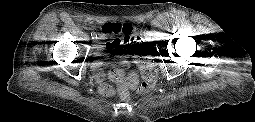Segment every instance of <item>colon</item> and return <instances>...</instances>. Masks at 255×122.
<instances>
[{
    "instance_id": "1",
    "label": "colon",
    "mask_w": 255,
    "mask_h": 122,
    "mask_svg": "<svg viewBox=\"0 0 255 122\" xmlns=\"http://www.w3.org/2000/svg\"><path fill=\"white\" fill-rule=\"evenodd\" d=\"M102 29L106 34H124L129 38L130 45H134L136 48L141 46V39L138 35L133 34V27L131 24L124 23L122 25L119 23H107L103 25ZM141 63L142 81L140 84H138V77L135 72L124 71L119 68L111 70L109 74L110 79L116 84L117 91L123 98H126L129 91L134 88H136V90L141 94H148L154 90L157 81V70L149 61L142 60ZM101 92L104 94H110L112 89L110 86L102 84Z\"/></svg>"
}]
</instances>
